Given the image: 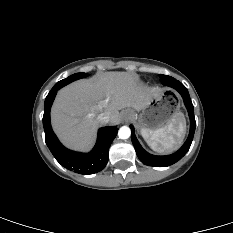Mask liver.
Segmentation results:
<instances>
[{"mask_svg": "<svg viewBox=\"0 0 233 233\" xmlns=\"http://www.w3.org/2000/svg\"><path fill=\"white\" fill-rule=\"evenodd\" d=\"M161 90L142 85L135 74L107 72L91 79L76 81L61 89L51 110V122L59 139L76 150L89 149L101 123L99 114L117 124L119 110L141 109Z\"/></svg>", "mask_w": 233, "mask_h": 233, "instance_id": "1", "label": "liver"}]
</instances>
